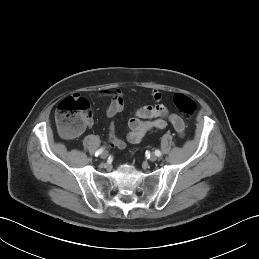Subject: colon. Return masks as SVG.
Masks as SVG:
<instances>
[{
	"label": "colon",
	"mask_w": 259,
	"mask_h": 259,
	"mask_svg": "<svg viewBox=\"0 0 259 259\" xmlns=\"http://www.w3.org/2000/svg\"><path fill=\"white\" fill-rule=\"evenodd\" d=\"M173 103L185 117H191L196 111V103L189 96L177 93ZM91 110L89 103L78 96H70L62 100L56 109L55 121L59 131L66 138H75L89 124Z\"/></svg>",
	"instance_id": "obj_1"
}]
</instances>
